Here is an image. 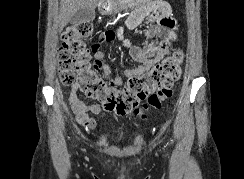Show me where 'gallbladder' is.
I'll list each match as a JSON object with an SVG mask.
<instances>
[{"mask_svg":"<svg viewBox=\"0 0 244 179\" xmlns=\"http://www.w3.org/2000/svg\"><path fill=\"white\" fill-rule=\"evenodd\" d=\"M95 18L94 10L91 8H81V10H77L76 14H74L73 18L69 20L70 24H83V22H92Z\"/></svg>","mask_w":244,"mask_h":179,"instance_id":"1","label":"gallbladder"}]
</instances>
